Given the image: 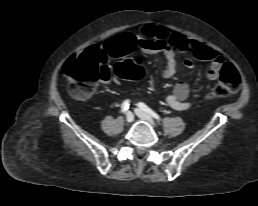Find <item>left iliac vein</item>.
Returning a JSON list of instances; mask_svg holds the SVG:
<instances>
[{
  "label": "left iliac vein",
  "mask_w": 258,
  "mask_h": 206,
  "mask_svg": "<svg viewBox=\"0 0 258 206\" xmlns=\"http://www.w3.org/2000/svg\"><path fill=\"white\" fill-rule=\"evenodd\" d=\"M135 114L139 118L149 122L151 125H153V126L155 125V122L153 121V119L146 112L142 111L141 109H138V108L135 109Z\"/></svg>",
  "instance_id": "obj_1"
}]
</instances>
